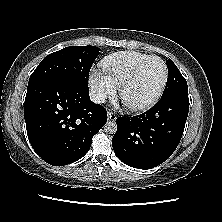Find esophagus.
Instances as JSON below:
<instances>
[{
    "mask_svg": "<svg viewBox=\"0 0 222 222\" xmlns=\"http://www.w3.org/2000/svg\"><path fill=\"white\" fill-rule=\"evenodd\" d=\"M107 117H108V120H110V121H115L117 118L113 112H108Z\"/></svg>",
    "mask_w": 222,
    "mask_h": 222,
    "instance_id": "esophagus-1",
    "label": "esophagus"
}]
</instances>
